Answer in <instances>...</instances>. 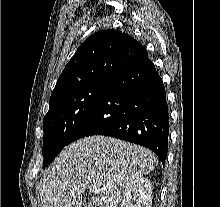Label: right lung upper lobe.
Here are the masks:
<instances>
[{
	"label": "right lung upper lobe",
	"mask_w": 220,
	"mask_h": 207,
	"mask_svg": "<svg viewBox=\"0 0 220 207\" xmlns=\"http://www.w3.org/2000/svg\"><path fill=\"white\" fill-rule=\"evenodd\" d=\"M147 55V50L124 32L115 29L96 32L80 45L66 64L50 100L85 85L109 80Z\"/></svg>",
	"instance_id": "right-lung-upper-lobe-1"
}]
</instances>
